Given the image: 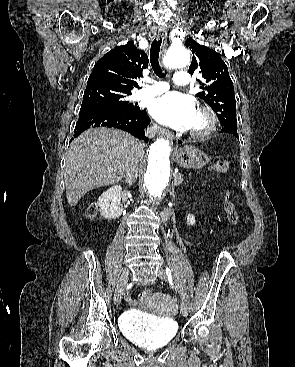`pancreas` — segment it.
<instances>
[{
	"mask_svg": "<svg viewBox=\"0 0 295 367\" xmlns=\"http://www.w3.org/2000/svg\"><path fill=\"white\" fill-rule=\"evenodd\" d=\"M183 182V175L182 174H175L174 175V180H173V183L174 185H179Z\"/></svg>",
	"mask_w": 295,
	"mask_h": 367,
	"instance_id": "pancreas-1",
	"label": "pancreas"
}]
</instances>
